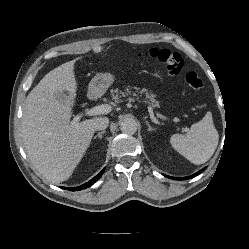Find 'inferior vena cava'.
I'll list each match as a JSON object with an SVG mask.
<instances>
[{
    "label": "inferior vena cava",
    "mask_w": 249,
    "mask_h": 249,
    "mask_svg": "<svg viewBox=\"0 0 249 249\" xmlns=\"http://www.w3.org/2000/svg\"><path fill=\"white\" fill-rule=\"evenodd\" d=\"M109 119L107 117H99L94 119L93 128L94 130H103L108 127Z\"/></svg>",
    "instance_id": "obj_1"
}]
</instances>
